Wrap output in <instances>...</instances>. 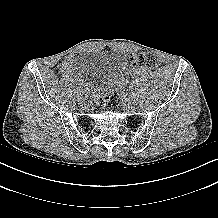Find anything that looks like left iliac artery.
Returning a JSON list of instances; mask_svg holds the SVG:
<instances>
[{
	"instance_id": "44dca946",
	"label": "left iliac artery",
	"mask_w": 218,
	"mask_h": 218,
	"mask_svg": "<svg viewBox=\"0 0 218 218\" xmlns=\"http://www.w3.org/2000/svg\"><path fill=\"white\" fill-rule=\"evenodd\" d=\"M126 97L128 98V100H134V95H131L130 93H127Z\"/></svg>"
}]
</instances>
